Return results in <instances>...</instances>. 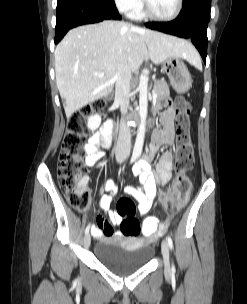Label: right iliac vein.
Here are the masks:
<instances>
[{
  "label": "right iliac vein",
  "instance_id": "1",
  "mask_svg": "<svg viewBox=\"0 0 247 304\" xmlns=\"http://www.w3.org/2000/svg\"><path fill=\"white\" fill-rule=\"evenodd\" d=\"M91 245V237H90V234H86L85 237H84V246L86 248H89Z\"/></svg>",
  "mask_w": 247,
  "mask_h": 304
}]
</instances>
